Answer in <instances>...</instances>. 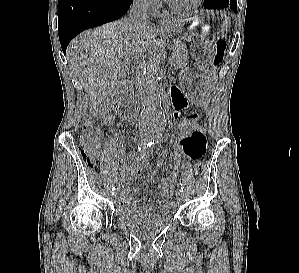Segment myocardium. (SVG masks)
<instances>
[{
    "instance_id": "obj_1",
    "label": "myocardium",
    "mask_w": 299,
    "mask_h": 273,
    "mask_svg": "<svg viewBox=\"0 0 299 273\" xmlns=\"http://www.w3.org/2000/svg\"><path fill=\"white\" fill-rule=\"evenodd\" d=\"M165 2L167 4L168 8L175 13L190 14L200 7L203 0H194L193 3H191L189 6H186V7L177 6V5L173 4L170 0H165Z\"/></svg>"
}]
</instances>
